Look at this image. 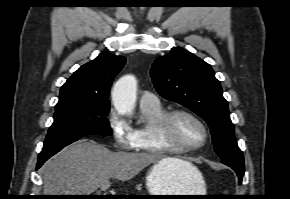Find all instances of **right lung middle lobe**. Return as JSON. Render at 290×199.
I'll use <instances>...</instances> for the list:
<instances>
[{"label":"right lung middle lobe","mask_w":290,"mask_h":199,"mask_svg":"<svg viewBox=\"0 0 290 199\" xmlns=\"http://www.w3.org/2000/svg\"><path fill=\"white\" fill-rule=\"evenodd\" d=\"M110 105H69L56 108L41 152L61 149L79 138L94 134H112L106 118Z\"/></svg>","instance_id":"dd1d6c3e"}]
</instances>
